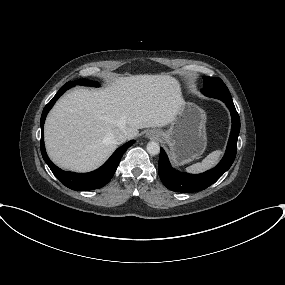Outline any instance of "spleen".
I'll return each mask as SVG.
<instances>
[{
	"label": "spleen",
	"mask_w": 285,
	"mask_h": 285,
	"mask_svg": "<svg viewBox=\"0 0 285 285\" xmlns=\"http://www.w3.org/2000/svg\"><path fill=\"white\" fill-rule=\"evenodd\" d=\"M221 154V150H216L210 153L206 158H204L202 162L195 163L187 167L186 170L191 173H200L207 169H210L218 163Z\"/></svg>",
	"instance_id": "spleen-1"
}]
</instances>
